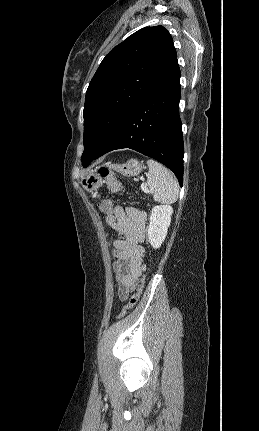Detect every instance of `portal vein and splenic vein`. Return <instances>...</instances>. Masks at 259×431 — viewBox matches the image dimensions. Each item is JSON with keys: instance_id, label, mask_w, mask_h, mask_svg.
Here are the masks:
<instances>
[{"instance_id": "obj_1", "label": "portal vein and splenic vein", "mask_w": 259, "mask_h": 431, "mask_svg": "<svg viewBox=\"0 0 259 431\" xmlns=\"http://www.w3.org/2000/svg\"><path fill=\"white\" fill-rule=\"evenodd\" d=\"M142 189L148 192L144 184H142Z\"/></svg>"}]
</instances>
